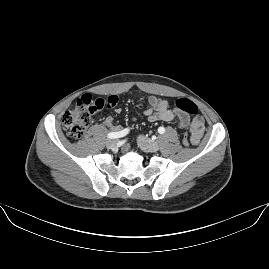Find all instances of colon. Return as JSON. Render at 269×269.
I'll use <instances>...</instances> for the list:
<instances>
[{
  "label": "colon",
  "instance_id": "1",
  "mask_svg": "<svg viewBox=\"0 0 269 269\" xmlns=\"http://www.w3.org/2000/svg\"><path fill=\"white\" fill-rule=\"evenodd\" d=\"M119 104L117 95H110L108 99L95 98L91 94H83L76 105L70 108L62 117L64 131L74 140L82 138L91 124V116L103 110H110L112 106ZM174 107L178 111L197 116L195 104L187 98H177ZM188 131L185 129L180 133L179 138L183 141V146L189 144Z\"/></svg>",
  "mask_w": 269,
  "mask_h": 269
}]
</instances>
